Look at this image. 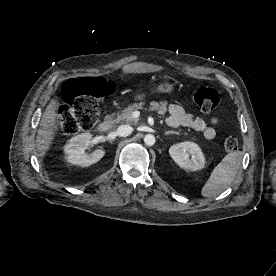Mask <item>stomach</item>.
<instances>
[{"mask_svg": "<svg viewBox=\"0 0 276 276\" xmlns=\"http://www.w3.org/2000/svg\"><path fill=\"white\" fill-rule=\"evenodd\" d=\"M174 90V84L164 81L163 83L159 84L154 90H152L151 95L157 93H171ZM146 97L145 94H139L135 96V100H143Z\"/></svg>", "mask_w": 276, "mask_h": 276, "instance_id": "obj_1", "label": "stomach"}]
</instances>
